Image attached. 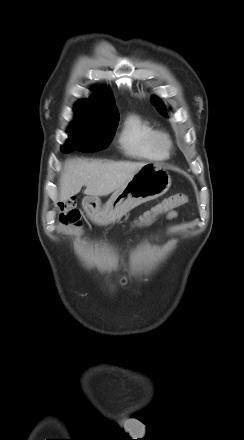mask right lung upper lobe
Wrapping results in <instances>:
<instances>
[{"mask_svg": "<svg viewBox=\"0 0 244 440\" xmlns=\"http://www.w3.org/2000/svg\"><path fill=\"white\" fill-rule=\"evenodd\" d=\"M75 113L76 121L93 125H111L119 121V112L112 97L107 94L101 98L100 92L91 99L77 103Z\"/></svg>", "mask_w": 244, "mask_h": 440, "instance_id": "right-lung-upper-lobe-1", "label": "right lung upper lobe"}]
</instances>
